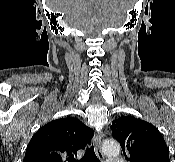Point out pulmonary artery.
Here are the masks:
<instances>
[{
  "instance_id": "pulmonary-artery-1",
  "label": "pulmonary artery",
  "mask_w": 175,
  "mask_h": 162,
  "mask_svg": "<svg viewBox=\"0 0 175 162\" xmlns=\"http://www.w3.org/2000/svg\"><path fill=\"white\" fill-rule=\"evenodd\" d=\"M107 162H124V160L121 158H114V159L107 160Z\"/></svg>"
}]
</instances>
